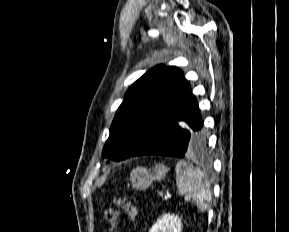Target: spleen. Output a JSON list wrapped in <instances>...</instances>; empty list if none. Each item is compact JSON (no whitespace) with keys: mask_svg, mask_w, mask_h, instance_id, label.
<instances>
[{"mask_svg":"<svg viewBox=\"0 0 289 232\" xmlns=\"http://www.w3.org/2000/svg\"><path fill=\"white\" fill-rule=\"evenodd\" d=\"M175 169L176 183L181 195L186 201L195 203L201 212H205L212 199L210 182L205 174L186 161H179Z\"/></svg>","mask_w":289,"mask_h":232,"instance_id":"3e777b00","label":"spleen"}]
</instances>
